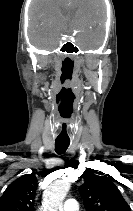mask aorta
I'll return each mask as SVG.
<instances>
[{
  "label": "aorta",
  "mask_w": 133,
  "mask_h": 211,
  "mask_svg": "<svg viewBox=\"0 0 133 211\" xmlns=\"http://www.w3.org/2000/svg\"><path fill=\"white\" fill-rule=\"evenodd\" d=\"M69 189L67 180H57L51 184L43 195V211H63V200Z\"/></svg>",
  "instance_id": "762f6f07"
}]
</instances>
